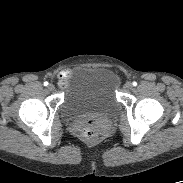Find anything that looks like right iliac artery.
Wrapping results in <instances>:
<instances>
[{"instance_id":"82829eb1","label":"right iliac artery","mask_w":183,"mask_h":183,"mask_svg":"<svg viewBox=\"0 0 183 183\" xmlns=\"http://www.w3.org/2000/svg\"><path fill=\"white\" fill-rule=\"evenodd\" d=\"M48 85V82H44V86H47Z\"/></svg>"}]
</instances>
